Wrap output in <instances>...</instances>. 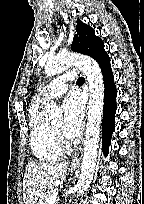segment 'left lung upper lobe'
<instances>
[{
	"label": "left lung upper lobe",
	"mask_w": 144,
	"mask_h": 204,
	"mask_svg": "<svg viewBox=\"0 0 144 204\" xmlns=\"http://www.w3.org/2000/svg\"><path fill=\"white\" fill-rule=\"evenodd\" d=\"M76 32L71 45L73 51L89 55L96 61L108 56L103 41L95 35L93 28L78 19Z\"/></svg>",
	"instance_id": "1"
}]
</instances>
